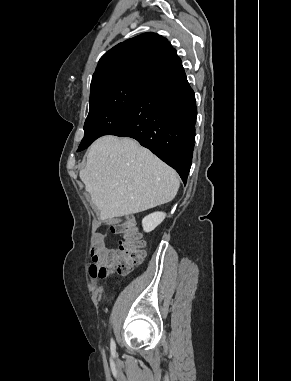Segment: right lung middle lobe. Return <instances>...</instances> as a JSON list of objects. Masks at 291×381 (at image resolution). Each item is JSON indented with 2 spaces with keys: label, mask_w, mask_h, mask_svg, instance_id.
Listing matches in <instances>:
<instances>
[{
  "label": "right lung middle lobe",
  "mask_w": 291,
  "mask_h": 381,
  "mask_svg": "<svg viewBox=\"0 0 291 381\" xmlns=\"http://www.w3.org/2000/svg\"><path fill=\"white\" fill-rule=\"evenodd\" d=\"M142 80L128 79L90 95L85 134L77 151L86 149L97 138L114 134L123 127Z\"/></svg>",
  "instance_id": "obj_1"
}]
</instances>
